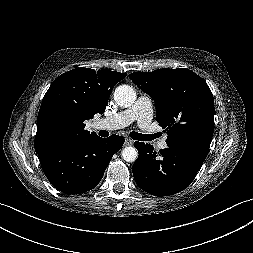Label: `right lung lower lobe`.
<instances>
[{
  "label": "right lung lower lobe",
  "instance_id": "obj_1",
  "mask_svg": "<svg viewBox=\"0 0 253 253\" xmlns=\"http://www.w3.org/2000/svg\"><path fill=\"white\" fill-rule=\"evenodd\" d=\"M123 144L124 138L118 135L106 139L94 137L54 145L38 156L46 177L56 189L79 194L98 185L112 156Z\"/></svg>",
  "mask_w": 253,
  "mask_h": 253
}]
</instances>
